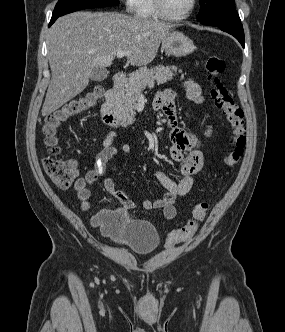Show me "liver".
<instances>
[{"mask_svg": "<svg viewBox=\"0 0 285 332\" xmlns=\"http://www.w3.org/2000/svg\"><path fill=\"white\" fill-rule=\"evenodd\" d=\"M172 26L116 12H74L51 27L47 42L51 81L42 107L48 116L80 94L95 67H109L117 51L133 66L149 64Z\"/></svg>", "mask_w": 285, "mask_h": 332, "instance_id": "6515ba94", "label": "liver"}]
</instances>
